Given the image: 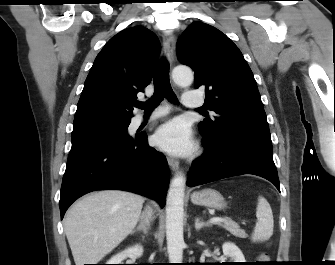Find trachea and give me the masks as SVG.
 I'll use <instances>...</instances> for the list:
<instances>
[{
	"instance_id": "obj_1",
	"label": "trachea",
	"mask_w": 335,
	"mask_h": 265,
	"mask_svg": "<svg viewBox=\"0 0 335 265\" xmlns=\"http://www.w3.org/2000/svg\"><path fill=\"white\" fill-rule=\"evenodd\" d=\"M153 83L155 87L154 95L146 103H137L136 106L138 108L144 109V111L148 113L157 107L164 98L172 103L178 102L170 84L169 63L165 59H162L158 63L154 73Z\"/></svg>"
}]
</instances>
